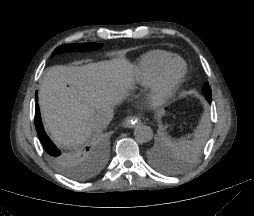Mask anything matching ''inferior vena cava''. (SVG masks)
<instances>
[{
  "label": "inferior vena cava",
  "mask_w": 254,
  "mask_h": 216,
  "mask_svg": "<svg viewBox=\"0 0 254 216\" xmlns=\"http://www.w3.org/2000/svg\"><path fill=\"white\" fill-rule=\"evenodd\" d=\"M114 116V110L110 107H104L97 110L90 119V126L94 131L105 129Z\"/></svg>",
  "instance_id": "1"
}]
</instances>
